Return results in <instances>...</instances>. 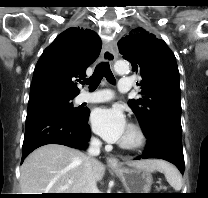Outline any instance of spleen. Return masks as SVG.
<instances>
[{
    "instance_id": "1",
    "label": "spleen",
    "mask_w": 208,
    "mask_h": 198,
    "mask_svg": "<svg viewBox=\"0 0 208 198\" xmlns=\"http://www.w3.org/2000/svg\"><path fill=\"white\" fill-rule=\"evenodd\" d=\"M161 171L164 172L167 182L175 189L176 191L181 190L182 188V177L178 170L169 163L162 162Z\"/></svg>"
}]
</instances>
